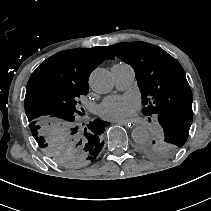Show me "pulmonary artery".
I'll return each instance as SVG.
<instances>
[{
	"instance_id": "pulmonary-artery-1",
	"label": "pulmonary artery",
	"mask_w": 211,
	"mask_h": 211,
	"mask_svg": "<svg viewBox=\"0 0 211 211\" xmlns=\"http://www.w3.org/2000/svg\"><path fill=\"white\" fill-rule=\"evenodd\" d=\"M111 71L114 75L116 86L119 89H126L131 86L135 81V70L129 64H115L112 66Z\"/></svg>"
}]
</instances>
